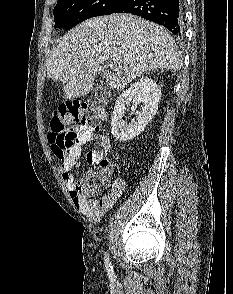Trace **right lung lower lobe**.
<instances>
[{"label":"right lung lower lobe","instance_id":"obj_1","mask_svg":"<svg viewBox=\"0 0 233 294\" xmlns=\"http://www.w3.org/2000/svg\"><path fill=\"white\" fill-rule=\"evenodd\" d=\"M113 13H131L163 25L176 37L183 36L182 0H123Z\"/></svg>","mask_w":233,"mask_h":294}]
</instances>
